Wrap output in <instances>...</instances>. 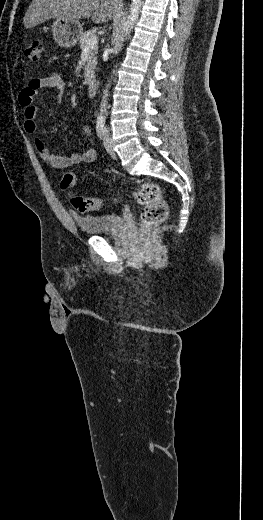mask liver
<instances>
[{
	"label": "liver",
	"instance_id": "liver-1",
	"mask_svg": "<svg viewBox=\"0 0 263 520\" xmlns=\"http://www.w3.org/2000/svg\"><path fill=\"white\" fill-rule=\"evenodd\" d=\"M122 6V0H32L23 23L25 28L35 27L51 18H91L94 23H105L118 17Z\"/></svg>",
	"mask_w": 263,
	"mask_h": 520
}]
</instances>
